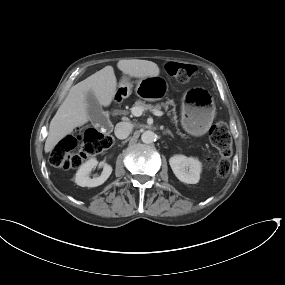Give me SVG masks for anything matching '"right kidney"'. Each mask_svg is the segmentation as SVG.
Returning a JSON list of instances; mask_svg holds the SVG:
<instances>
[{
    "instance_id": "ca27d5eb",
    "label": "right kidney",
    "mask_w": 285,
    "mask_h": 285,
    "mask_svg": "<svg viewBox=\"0 0 285 285\" xmlns=\"http://www.w3.org/2000/svg\"><path fill=\"white\" fill-rule=\"evenodd\" d=\"M98 161L95 158H92L82 164L79 170L76 173L75 182L77 185L82 187H96L102 185L111 175L112 167L109 164L103 163V171L100 176L90 178V174L93 168L98 165Z\"/></svg>"
}]
</instances>
